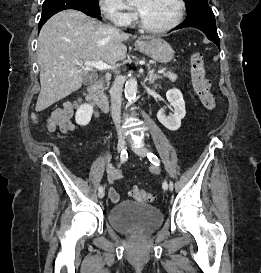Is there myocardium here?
<instances>
[{"label":"myocardium","instance_id":"obj_1","mask_svg":"<svg viewBox=\"0 0 261 273\" xmlns=\"http://www.w3.org/2000/svg\"><path fill=\"white\" fill-rule=\"evenodd\" d=\"M177 3H178V6H179V12H178V15L176 17V19L166 25V26H163V27H153L151 25H149L145 19L143 18V16L141 15V13L139 12L138 9H136V16H137V20H138V23L140 25V27L148 32H151V33H165V32H168L172 29H174L175 27H177L183 20L184 18V15H185V12H186V4H185V1L184 0H176Z\"/></svg>","mask_w":261,"mask_h":273}]
</instances>
